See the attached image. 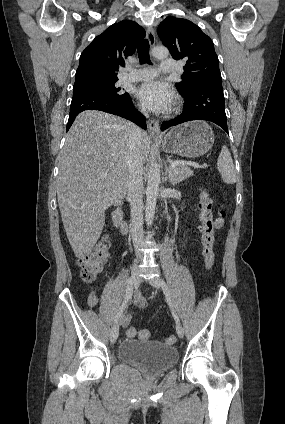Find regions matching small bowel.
Instances as JSON below:
<instances>
[{
    "instance_id": "small-bowel-1",
    "label": "small bowel",
    "mask_w": 285,
    "mask_h": 424,
    "mask_svg": "<svg viewBox=\"0 0 285 424\" xmlns=\"http://www.w3.org/2000/svg\"><path fill=\"white\" fill-rule=\"evenodd\" d=\"M88 303L91 307H96L99 304V299L95 294H91L89 296ZM131 305L134 307L142 308L145 305V298L142 297L138 292H135L134 297L131 301ZM129 322H130V313L128 311H125L124 313H122V316H121V325L123 327H127Z\"/></svg>"
}]
</instances>
